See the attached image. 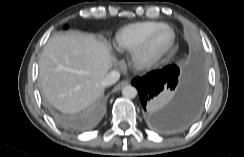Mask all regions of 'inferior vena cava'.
<instances>
[{
    "label": "inferior vena cava",
    "mask_w": 244,
    "mask_h": 157,
    "mask_svg": "<svg viewBox=\"0 0 244 157\" xmlns=\"http://www.w3.org/2000/svg\"><path fill=\"white\" fill-rule=\"evenodd\" d=\"M119 78H120V73L118 71H111L105 76L102 84L104 86L113 85L119 80Z\"/></svg>",
    "instance_id": "1"
}]
</instances>
